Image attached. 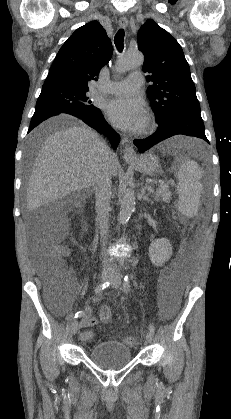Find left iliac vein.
<instances>
[{"label":"left iliac vein","instance_id":"1","mask_svg":"<svg viewBox=\"0 0 231 419\" xmlns=\"http://www.w3.org/2000/svg\"><path fill=\"white\" fill-rule=\"evenodd\" d=\"M112 280H113L112 287L114 289H118L120 287V285H121V277H120V275H119V273L117 271H113ZM153 337L154 336H153V333L151 331H148L146 333V341L148 343H152Z\"/></svg>","mask_w":231,"mask_h":419}]
</instances>
